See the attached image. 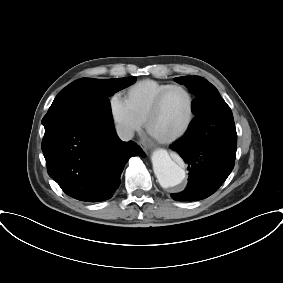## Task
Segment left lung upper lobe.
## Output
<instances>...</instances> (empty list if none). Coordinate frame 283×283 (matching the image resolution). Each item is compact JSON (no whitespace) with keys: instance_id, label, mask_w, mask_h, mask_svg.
<instances>
[{"instance_id":"left-lung-upper-lobe-1","label":"left lung upper lobe","mask_w":283,"mask_h":283,"mask_svg":"<svg viewBox=\"0 0 283 283\" xmlns=\"http://www.w3.org/2000/svg\"><path fill=\"white\" fill-rule=\"evenodd\" d=\"M177 83L185 85L195 94L196 98L192 101V112L196 116L200 109L210 110L209 107L213 106L215 98H222L214 85L208 82L206 79L198 76H183L174 79ZM226 103V102H225ZM223 123L219 126L211 123V126H215L214 132L209 133L210 140L237 144V133L234 124L233 115L230 107L226 104L225 112L220 117Z\"/></svg>"}]
</instances>
